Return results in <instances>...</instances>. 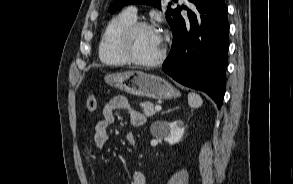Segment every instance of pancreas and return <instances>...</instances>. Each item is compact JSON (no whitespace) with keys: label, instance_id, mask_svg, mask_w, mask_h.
I'll return each instance as SVG.
<instances>
[{"label":"pancreas","instance_id":"pancreas-1","mask_svg":"<svg viewBox=\"0 0 293 184\" xmlns=\"http://www.w3.org/2000/svg\"><path fill=\"white\" fill-rule=\"evenodd\" d=\"M140 105H141L142 111L146 117H151L156 113L153 103L142 102Z\"/></svg>","mask_w":293,"mask_h":184}]
</instances>
